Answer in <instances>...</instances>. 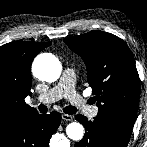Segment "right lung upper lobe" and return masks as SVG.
<instances>
[{
    "mask_svg": "<svg viewBox=\"0 0 147 147\" xmlns=\"http://www.w3.org/2000/svg\"><path fill=\"white\" fill-rule=\"evenodd\" d=\"M51 42L14 41L0 47V135L37 114L25 103L31 96V63Z\"/></svg>",
    "mask_w": 147,
    "mask_h": 147,
    "instance_id": "obj_1",
    "label": "right lung upper lobe"
}]
</instances>
